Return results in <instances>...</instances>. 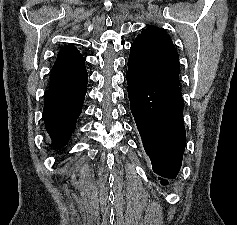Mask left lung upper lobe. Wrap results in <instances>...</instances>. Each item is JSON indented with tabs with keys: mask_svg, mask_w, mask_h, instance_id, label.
I'll return each mask as SVG.
<instances>
[{
	"mask_svg": "<svg viewBox=\"0 0 237 225\" xmlns=\"http://www.w3.org/2000/svg\"><path fill=\"white\" fill-rule=\"evenodd\" d=\"M179 56L170 36L148 26L131 45L128 72L153 87H179Z\"/></svg>",
	"mask_w": 237,
	"mask_h": 225,
	"instance_id": "5c2ea615",
	"label": "left lung upper lobe"
}]
</instances>
